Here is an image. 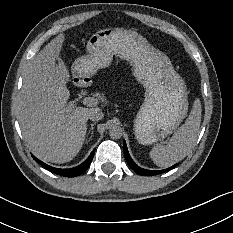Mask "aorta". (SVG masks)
<instances>
[{
    "label": "aorta",
    "instance_id": "aorta-1",
    "mask_svg": "<svg viewBox=\"0 0 233 233\" xmlns=\"http://www.w3.org/2000/svg\"><path fill=\"white\" fill-rule=\"evenodd\" d=\"M109 134H110L111 138L119 139L122 136V129L118 125H113L109 130Z\"/></svg>",
    "mask_w": 233,
    "mask_h": 233
}]
</instances>
